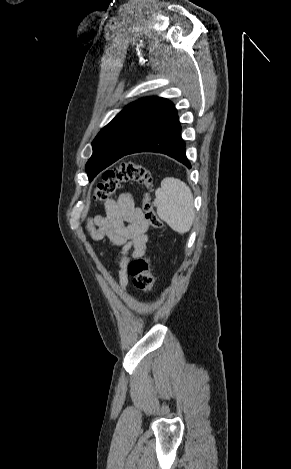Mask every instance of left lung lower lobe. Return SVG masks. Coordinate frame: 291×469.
Masks as SVG:
<instances>
[{
  "label": "left lung lower lobe",
  "instance_id": "1",
  "mask_svg": "<svg viewBox=\"0 0 291 469\" xmlns=\"http://www.w3.org/2000/svg\"><path fill=\"white\" fill-rule=\"evenodd\" d=\"M138 152L163 153L183 163L188 168H191L185 154V143L181 137V126L177 111H175L163 124L148 133L128 151L115 159L118 160L125 155Z\"/></svg>",
  "mask_w": 291,
  "mask_h": 469
}]
</instances>
